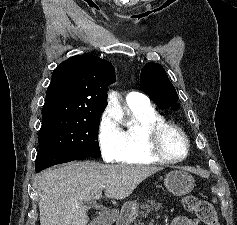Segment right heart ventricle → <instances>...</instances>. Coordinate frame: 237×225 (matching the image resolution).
I'll return each mask as SVG.
<instances>
[{
  "label": "right heart ventricle",
  "instance_id": "e07e8e85",
  "mask_svg": "<svg viewBox=\"0 0 237 225\" xmlns=\"http://www.w3.org/2000/svg\"><path fill=\"white\" fill-rule=\"evenodd\" d=\"M133 123L122 131L124 149L118 162L124 164H156L161 162L149 151L146 131L152 125L165 122L148 102L128 106Z\"/></svg>",
  "mask_w": 237,
  "mask_h": 225
}]
</instances>
